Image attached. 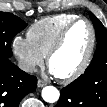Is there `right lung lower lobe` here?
<instances>
[{"mask_svg":"<svg viewBox=\"0 0 107 107\" xmlns=\"http://www.w3.org/2000/svg\"><path fill=\"white\" fill-rule=\"evenodd\" d=\"M37 78L20 70L9 58L0 57V107H18L28 93L35 91Z\"/></svg>","mask_w":107,"mask_h":107,"instance_id":"98d812e1","label":"right lung lower lobe"}]
</instances>
